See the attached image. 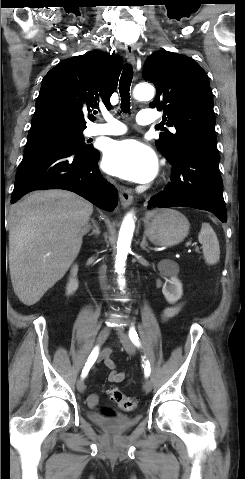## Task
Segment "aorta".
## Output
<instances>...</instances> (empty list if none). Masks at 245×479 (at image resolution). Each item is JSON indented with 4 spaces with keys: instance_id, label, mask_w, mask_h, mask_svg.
<instances>
[{
    "instance_id": "aorta-1",
    "label": "aorta",
    "mask_w": 245,
    "mask_h": 479,
    "mask_svg": "<svg viewBox=\"0 0 245 479\" xmlns=\"http://www.w3.org/2000/svg\"><path fill=\"white\" fill-rule=\"evenodd\" d=\"M133 95L137 100H150L154 96V88L148 84H138L134 89ZM134 228L135 223L133 219V213L130 212L125 216L122 222L117 241L115 269L119 274L118 285L120 286V289H123L125 286V279L123 278L122 274L125 271V262L130 250Z\"/></svg>"
}]
</instances>
